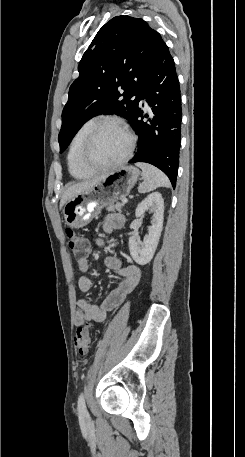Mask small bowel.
I'll use <instances>...</instances> for the list:
<instances>
[{
  "mask_svg": "<svg viewBox=\"0 0 245 457\" xmlns=\"http://www.w3.org/2000/svg\"><path fill=\"white\" fill-rule=\"evenodd\" d=\"M125 218L119 213L108 214L102 222L104 233L111 234L124 226ZM99 245L103 241L98 239ZM105 266L122 277L119 285L100 303L95 304L85 299L77 301L78 311L75 314L74 323L76 326L84 325L86 322H103L107 312L121 305L126 298L139 286L142 281V270L136 265L123 266L121 260L115 256H108L104 260ZM78 268L82 275L78 279V288L83 293L91 291L93 282L87 275L90 269V262L87 258L78 260Z\"/></svg>",
  "mask_w": 245,
  "mask_h": 457,
  "instance_id": "1",
  "label": "small bowel"
}]
</instances>
